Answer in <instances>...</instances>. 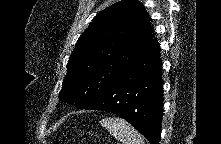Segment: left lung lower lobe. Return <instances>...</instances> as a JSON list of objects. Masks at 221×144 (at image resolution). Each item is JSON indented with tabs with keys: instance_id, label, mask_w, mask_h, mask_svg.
<instances>
[{
	"instance_id": "obj_1",
	"label": "left lung lower lobe",
	"mask_w": 221,
	"mask_h": 144,
	"mask_svg": "<svg viewBox=\"0 0 221 144\" xmlns=\"http://www.w3.org/2000/svg\"><path fill=\"white\" fill-rule=\"evenodd\" d=\"M161 69L160 46L157 39H152L88 109L117 114L151 144H159L163 109Z\"/></svg>"
}]
</instances>
